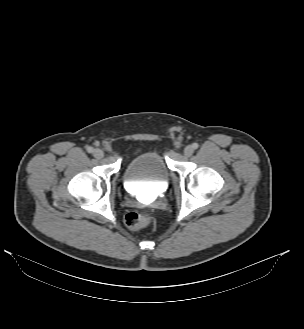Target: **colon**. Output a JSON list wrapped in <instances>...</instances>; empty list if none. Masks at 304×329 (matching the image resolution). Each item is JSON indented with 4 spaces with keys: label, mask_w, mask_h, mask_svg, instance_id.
I'll return each instance as SVG.
<instances>
[{
    "label": "colon",
    "mask_w": 304,
    "mask_h": 329,
    "mask_svg": "<svg viewBox=\"0 0 304 329\" xmlns=\"http://www.w3.org/2000/svg\"><path fill=\"white\" fill-rule=\"evenodd\" d=\"M124 221L129 229L136 231L151 225L153 223V217L150 214L129 212L125 215Z\"/></svg>",
    "instance_id": "1"
}]
</instances>
